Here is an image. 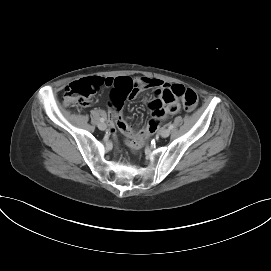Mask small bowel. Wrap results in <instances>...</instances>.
<instances>
[{
    "label": "small bowel",
    "mask_w": 271,
    "mask_h": 271,
    "mask_svg": "<svg viewBox=\"0 0 271 271\" xmlns=\"http://www.w3.org/2000/svg\"><path fill=\"white\" fill-rule=\"evenodd\" d=\"M171 85L160 79H151L145 76H135L132 79L127 76L120 78L103 77L96 84L99 94L103 95L110 104V118L118 131L123 133L132 145H136L140 132L134 131L121 115V107L127 99L137 96L141 88L147 87L154 89V100L150 102L149 109L153 121L158 123L169 114L178 112L179 105L174 103L166 105L162 99V93Z\"/></svg>",
    "instance_id": "obj_1"
}]
</instances>
